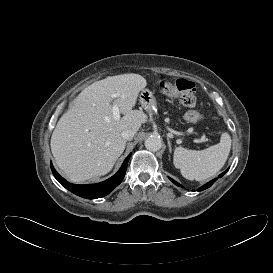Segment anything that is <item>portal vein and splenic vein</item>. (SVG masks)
<instances>
[{
	"label": "portal vein and splenic vein",
	"mask_w": 273,
	"mask_h": 273,
	"mask_svg": "<svg viewBox=\"0 0 273 273\" xmlns=\"http://www.w3.org/2000/svg\"><path fill=\"white\" fill-rule=\"evenodd\" d=\"M119 95L120 94L117 93V94H114L113 97H118ZM112 113H113V118L114 119L118 120L120 118V110H119V107L116 104H113V106H112ZM171 132H173V131H171Z\"/></svg>",
	"instance_id": "portal-vein-and-splenic-vein-1"
}]
</instances>
